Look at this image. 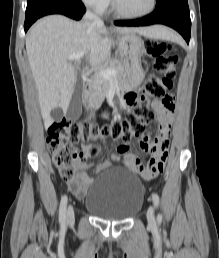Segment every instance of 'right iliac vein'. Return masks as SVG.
Here are the masks:
<instances>
[{"label":"right iliac vein","instance_id":"obj_1","mask_svg":"<svg viewBox=\"0 0 219 258\" xmlns=\"http://www.w3.org/2000/svg\"><path fill=\"white\" fill-rule=\"evenodd\" d=\"M67 223H71L74 220V209L72 205H69L66 213Z\"/></svg>","mask_w":219,"mask_h":258}]
</instances>
